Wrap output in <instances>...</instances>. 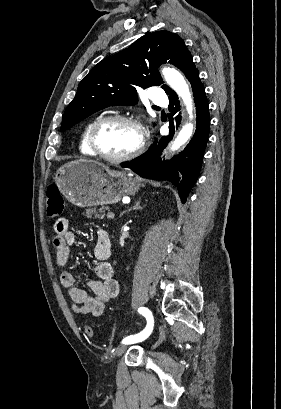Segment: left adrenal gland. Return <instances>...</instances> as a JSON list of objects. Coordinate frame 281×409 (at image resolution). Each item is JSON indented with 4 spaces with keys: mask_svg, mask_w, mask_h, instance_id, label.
<instances>
[{
    "mask_svg": "<svg viewBox=\"0 0 281 409\" xmlns=\"http://www.w3.org/2000/svg\"><path fill=\"white\" fill-rule=\"evenodd\" d=\"M138 209H142V207H140V200H136L134 207H131V209H128V211H138ZM124 213H127V211H123V213H121V217L124 215Z\"/></svg>",
    "mask_w": 281,
    "mask_h": 409,
    "instance_id": "obj_1",
    "label": "left adrenal gland"
}]
</instances>
